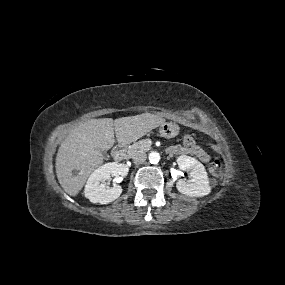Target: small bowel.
Returning <instances> with one entry per match:
<instances>
[{"label": "small bowel", "instance_id": "obj_1", "mask_svg": "<svg viewBox=\"0 0 285 285\" xmlns=\"http://www.w3.org/2000/svg\"><path fill=\"white\" fill-rule=\"evenodd\" d=\"M173 155L192 154L195 155L201 162L208 163L210 161L209 155L199 145L196 144L192 148H187L184 145H175L169 149Z\"/></svg>", "mask_w": 285, "mask_h": 285}]
</instances>
